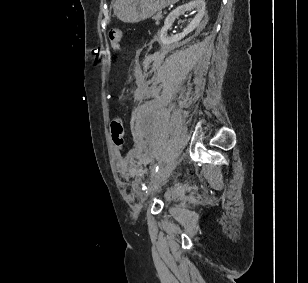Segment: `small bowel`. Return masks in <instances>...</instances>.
Returning <instances> with one entry per match:
<instances>
[{"instance_id":"small-bowel-1","label":"small bowel","mask_w":308,"mask_h":283,"mask_svg":"<svg viewBox=\"0 0 308 283\" xmlns=\"http://www.w3.org/2000/svg\"><path fill=\"white\" fill-rule=\"evenodd\" d=\"M135 98L136 99H140L141 98L140 94L139 93H135ZM117 166H118V170L122 174H124L126 177L130 176V172L128 170V167H127L126 163L123 160L119 161Z\"/></svg>"}]
</instances>
